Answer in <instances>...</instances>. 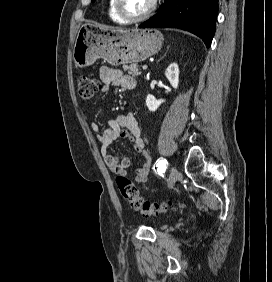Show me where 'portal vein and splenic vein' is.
Here are the masks:
<instances>
[{
    "label": "portal vein and splenic vein",
    "mask_w": 272,
    "mask_h": 282,
    "mask_svg": "<svg viewBox=\"0 0 272 282\" xmlns=\"http://www.w3.org/2000/svg\"><path fill=\"white\" fill-rule=\"evenodd\" d=\"M147 68H148L147 65H143V66H142V69H143V70H147Z\"/></svg>",
    "instance_id": "obj_1"
}]
</instances>
